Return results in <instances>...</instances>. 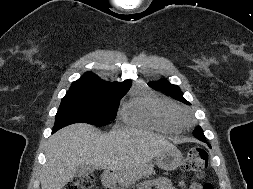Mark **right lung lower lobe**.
Returning a JSON list of instances; mask_svg holds the SVG:
<instances>
[{"label":"right lung lower lobe","instance_id":"obj_1","mask_svg":"<svg viewBox=\"0 0 253 189\" xmlns=\"http://www.w3.org/2000/svg\"><path fill=\"white\" fill-rule=\"evenodd\" d=\"M57 130L56 129H53L52 133L56 132Z\"/></svg>","mask_w":253,"mask_h":189}]
</instances>
